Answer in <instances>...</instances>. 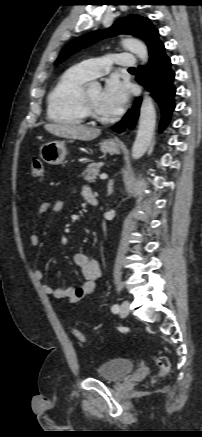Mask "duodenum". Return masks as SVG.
I'll use <instances>...</instances> for the list:
<instances>
[{
	"label": "duodenum",
	"mask_w": 202,
	"mask_h": 437,
	"mask_svg": "<svg viewBox=\"0 0 202 437\" xmlns=\"http://www.w3.org/2000/svg\"><path fill=\"white\" fill-rule=\"evenodd\" d=\"M87 202L92 207H96L98 205V200H97V198H96V196L94 194L90 195L87 198Z\"/></svg>",
	"instance_id": "obj_1"
}]
</instances>
